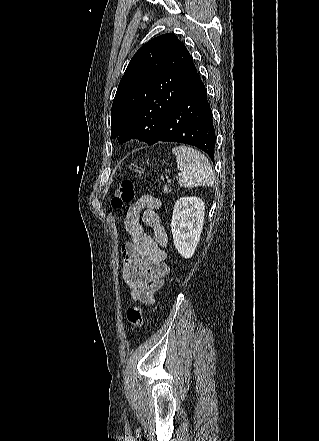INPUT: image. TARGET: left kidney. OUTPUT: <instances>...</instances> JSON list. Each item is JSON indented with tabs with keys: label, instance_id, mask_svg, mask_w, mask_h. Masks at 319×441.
I'll use <instances>...</instances> for the list:
<instances>
[{
	"label": "left kidney",
	"instance_id": "left-kidney-1",
	"mask_svg": "<svg viewBox=\"0 0 319 441\" xmlns=\"http://www.w3.org/2000/svg\"><path fill=\"white\" fill-rule=\"evenodd\" d=\"M205 204L197 197H182L174 206L171 231L178 253L188 259L195 252L203 229Z\"/></svg>",
	"mask_w": 319,
	"mask_h": 441
}]
</instances>
